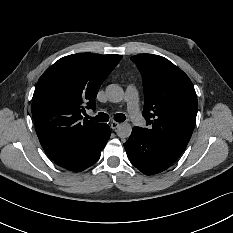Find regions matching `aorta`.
Masks as SVG:
<instances>
[{"label":"aorta","instance_id":"aorta-1","mask_svg":"<svg viewBox=\"0 0 233 233\" xmlns=\"http://www.w3.org/2000/svg\"><path fill=\"white\" fill-rule=\"evenodd\" d=\"M106 96L112 103H120L124 99V90L115 84H111L106 88ZM132 133V126L129 122L124 121L119 124L117 134L119 137L127 138Z\"/></svg>","mask_w":233,"mask_h":233}]
</instances>
